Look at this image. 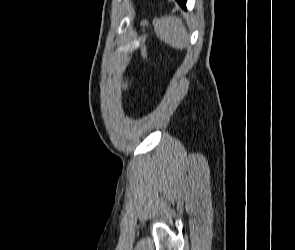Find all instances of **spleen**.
Wrapping results in <instances>:
<instances>
[{"label":"spleen","mask_w":295,"mask_h":250,"mask_svg":"<svg viewBox=\"0 0 295 250\" xmlns=\"http://www.w3.org/2000/svg\"><path fill=\"white\" fill-rule=\"evenodd\" d=\"M157 37L174 49H184L188 46L189 35L181 19L175 16H165L153 20Z\"/></svg>","instance_id":"spleen-1"}]
</instances>
